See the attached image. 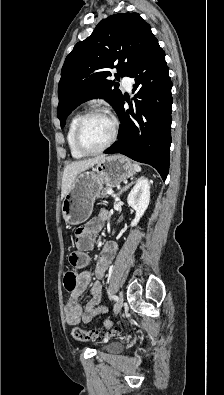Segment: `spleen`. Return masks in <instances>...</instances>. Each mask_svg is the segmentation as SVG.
I'll use <instances>...</instances> for the list:
<instances>
[{
    "instance_id": "3e777b00",
    "label": "spleen",
    "mask_w": 224,
    "mask_h": 395,
    "mask_svg": "<svg viewBox=\"0 0 224 395\" xmlns=\"http://www.w3.org/2000/svg\"><path fill=\"white\" fill-rule=\"evenodd\" d=\"M133 167H134V170H135L136 172H140V171H141V167H140L138 164L134 163V164H133Z\"/></svg>"
}]
</instances>
